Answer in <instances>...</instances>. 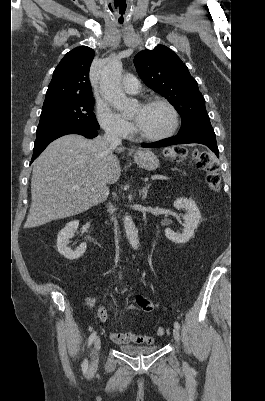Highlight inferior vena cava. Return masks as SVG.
<instances>
[{
  "label": "inferior vena cava",
  "instance_id": "inferior-vena-cava-1",
  "mask_svg": "<svg viewBox=\"0 0 265 401\" xmlns=\"http://www.w3.org/2000/svg\"><path fill=\"white\" fill-rule=\"evenodd\" d=\"M103 138H105V140H108L110 148H113V146H117V144H121V138H119L117 130H113V128H106ZM108 211L110 215H114V211H116V209L115 207H113V205H109ZM111 221H113L114 229L117 233L116 217H112Z\"/></svg>",
  "mask_w": 265,
  "mask_h": 401
}]
</instances>
